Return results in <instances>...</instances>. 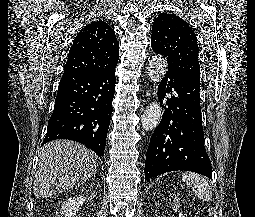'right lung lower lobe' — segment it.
<instances>
[{
	"instance_id": "obj_1",
	"label": "right lung lower lobe",
	"mask_w": 255,
	"mask_h": 217,
	"mask_svg": "<svg viewBox=\"0 0 255 217\" xmlns=\"http://www.w3.org/2000/svg\"><path fill=\"white\" fill-rule=\"evenodd\" d=\"M115 82V68L107 72L63 73L43 144L69 139L103 156Z\"/></svg>"
}]
</instances>
